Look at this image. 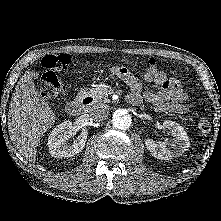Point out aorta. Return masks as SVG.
<instances>
[{
    "instance_id": "762f6f07",
    "label": "aorta",
    "mask_w": 221,
    "mask_h": 221,
    "mask_svg": "<svg viewBox=\"0 0 221 221\" xmlns=\"http://www.w3.org/2000/svg\"><path fill=\"white\" fill-rule=\"evenodd\" d=\"M132 123V117L127 110L119 109L115 111L112 119L113 127L119 130H127Z\"/></svg>"
}]
</instances>
